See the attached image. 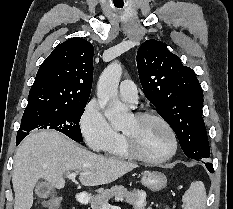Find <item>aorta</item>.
<instances>
[{"label": "aorta", "mask_w": 233, "mask_h": 209, "mask_svg": "<svg viewBox=\"0 0 233 209\" xmlns=\"http://www.w3.org/2000/svg\"><path fill=\"white\" fill-rule=\"evenodd\" d=\"M122 75L119 62L108 65L97 84V97L104 115L116 130L123 129L131 120V113L118 98V85Z\"/></svg>", "instance_id": "obj_1"}]
</instances>
